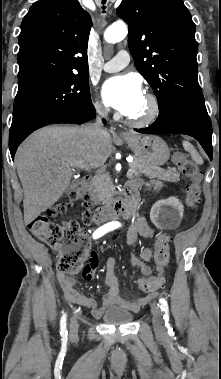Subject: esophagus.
<instances>
[{
	"label": "esophagus",
	"mask_w": 221,
	"mask_h": 379,
	"mask_svg": "<svg viewBox=\"0 0 221 379\" xmlns=\"http://www.w3.org/2000/svg\"><path fill=\"white\" fill-rule=\"evenodd\" d=\"M120 135H121V136H126V135H127V132H121Z\"/></svg>",
	"instance_id": "obj_1"
}]
</instances>
